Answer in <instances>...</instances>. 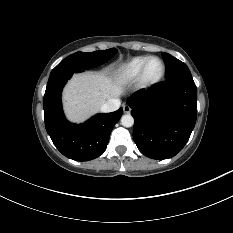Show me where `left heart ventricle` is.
Wrapping results in <instances>:
<instances>
[{
    "label": "left heart ventricle",
    "mask_w": 233,
    "mask_h": 233,
    "mask_svg": "<svg viewBox=\"0 0 233 233\" xmlns=\"http://www.w3.org/2000/svg\"><path fill=\"white\" fill-rule=\"evenodd\" d=\"M161 70H162L161 63L156 59L151 60L148 63V66H147V69H146V77L148 79H155L160 75Z\"/></svg>",
    "instance_id": "1"
}]
</instances>
